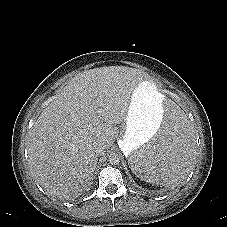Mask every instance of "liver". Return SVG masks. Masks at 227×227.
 <instances>
[{
    "label": "liver",
    "mask_w": 227,
    "mask_h": 227,
    "mask_svg": "<svg viewBox=\"0 0 227 227\" xmlns=\"http://www.w3.org/2000/svg\"><path fill=\"white\" fill-rule=\"evenodd\" d=\"M145 73L129 67L94 68L70 80L28 132L32 174L60 198L77 197L92 179L95 148H110L125 122L132 94Z\"/></svg>",
    "instance_id": "1"
}]
</instances>
